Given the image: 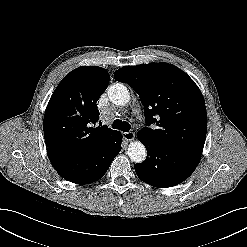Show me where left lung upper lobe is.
Listing matches in <instances>:
<instances>
[{
  "mask_svg": "<svg viewBox=\"0 0 247 247\" xmlns=\"http://www.w3.org/2000/svg\"><path fill=\"white\" fill-rule=\"evenodd\" d=\"M115 80L127 83L144 106L147 127L139 134L160 146L202 154L207 117L203 95L194 81L169 63L118 69ZM156 124L154 129L149 128Z\"/></svg>",
  "mask_w": 247,
  "mask_h": 247,
  "instance_id": "5c2ea615",
  "label": "left lung upper lobe"
}]
</instances>
